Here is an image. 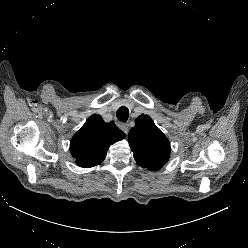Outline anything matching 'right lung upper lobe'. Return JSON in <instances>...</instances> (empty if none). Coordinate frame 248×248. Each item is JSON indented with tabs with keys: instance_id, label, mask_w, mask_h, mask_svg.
<instances>
[{
	"instance_id": "right-lung-upper-lobe-1",
	"label": "right lung upper lobe",
	"mask_w": 248,
	"mask_h": 248,
	"mask_svg": "<svg viewBox=\"0 0 248 248\" xmlns=\"http://www.w3.org/2000/svg\"><path fill=\"white\" fill-rule=\"evenodd\" d=\"M126 137L114 122L105 123L100 115L90 116L70 142V151L78 166L99 165L111 144Z\"/></svg>"
}]
</instances>
